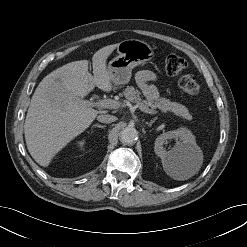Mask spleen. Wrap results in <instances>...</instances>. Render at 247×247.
Returning <instances> with one entry per match:
<instances>
[{
	"instance_id": "3e777b00",
	"label": "spleen",
	"mask_w": 247,
	"mask_h": 247,
	"mask_svg": "<svg viewBox=\"0 0 247 247\" xmlns=\"http://www.w3.org/2000/svg\"><path fill=\"white\" fill-rule=\"evenodd\" d=\"M179 161H181L182 162V160H179ZM178 161V162H179ZM176 167H169L168 166V172H169V174L171 175V176H173L174 178H176V179H179V180H184V179H187V178H189V177H191L193 174H195V172H190L188 175H184V176H181V175H179V173L176 171Z\"/></svg>"
}]
</instances>
